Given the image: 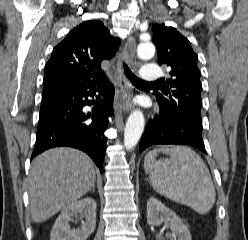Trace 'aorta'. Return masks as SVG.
I'll list each match as a JSON object with an SVG mask.
<instances>
[{
  "label": "aorta",
  "mask_w": 248,
  "mask_h": 240,
  "mask_svg": "<svg viewBox=\"0 0 248 240\" xmlns=\"http://www.w3.org/2000/svg\"><path fill=\"white\" fill-rule=\"evenodd\" d=\"M155 54V47L150 42H142L137 47V55L141 59H150ZM145 125L142 111L134 110L128 117L124 131V146L127 150L135 147L140 140Z\"/></svg>",
  "instance_id": "aorta-1"
}]
</instances>
